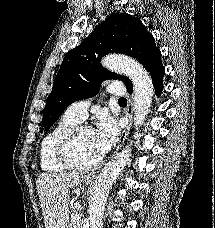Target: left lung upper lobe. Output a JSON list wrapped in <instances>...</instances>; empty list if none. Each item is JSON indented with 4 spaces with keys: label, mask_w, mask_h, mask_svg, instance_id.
Wrapping results in <instances>:
<instances>
[{
    "label": "left lung upper lobe",
    "mask_w": 215,
    "mask_h": 228,
    "mask_svg": "<svg viewBox=\"0 0 215 228\" xmlns=\"http://www.w3.org/2000/svg\"><path fill=\"white\" fill-rule=\"evenodd\" d=\"M158 51L153 36L138 18L128 13L109 16L79 46L65 55L46 100L42 126H47L45 130H48L71 103L96 95L101 81L120 79L126 88L132 85L127 77L100 65L104 55H129L146 69Z\"/></svg>",
    "instance_id": "1"
}]
</instances>
